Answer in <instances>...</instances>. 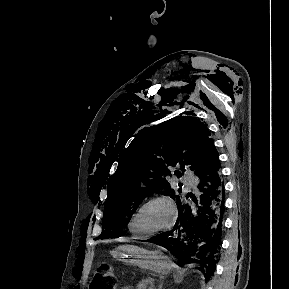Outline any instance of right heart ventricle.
Instances as JSON below:
<instances>
[{"mask_svg":"<svg viewBox=\"0 0 289 289\" xmlns=\"http://www.w3.org/2000/svg\"><path fill=\"white\" fill-rule=\"evenodd\" d=\"M128 227H129V230H130V232H131L132 235H134V236H138V234H136V233L131 229L130 222H129Z\"/></svg>","mask_w":289,"mask_h":289,"instance_id":"1","label":"right heart ventricle"}]
</instances>
